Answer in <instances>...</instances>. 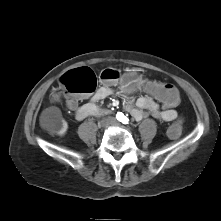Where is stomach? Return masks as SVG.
<instances>
[{"label": "stomach", "mask_w": 221, "mask_h": 221, "mask_svg": "<svg viewBox=\"0 0 221 221\" xmlns=\"http://www.w3.org/2000/svg\"><path fill=\"white\" fill-rule=\"evenodd\" d=\"M135 73L136 72H129V73H126L123 75L120 84H121V87L124 91L130 92V93L134 92L130 87L129 81H130L131 76Z\"/></svg>", "instance_id": "stomach-1"}]
</instances>
